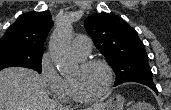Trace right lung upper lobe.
<instances>
[{"label":"right lung upper lobe","mask_w":171,"mask_h":110,"mask_svg":"<svg viewBox=\"0 0 171 110\" xmlns=\"http://www.w3.org/2000/svg\"><path fill=\"white\" fill-rule=\"evenodd\" d=\"M49 12H31L21 15L0 39V44H13L33 52H43L44 42L52 27Z\"/></svg>","instance_id":"obj_1"}]
</instances>
